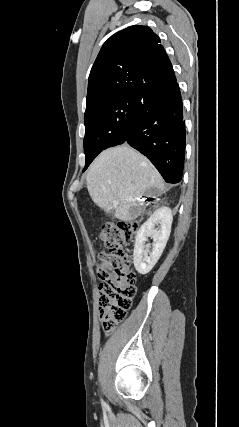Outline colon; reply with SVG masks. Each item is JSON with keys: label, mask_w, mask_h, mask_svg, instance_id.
<instances>
[{"label": "colon", "mask_w": 239, "mask_h": 427, "mask_svg": "<svg viewBox=\"0 0 239 427\" xmlns=\"http://www.w3.org/2000/svg\"><path fill=\"white\" fill-rule=\"evenodd\" d=\"M136 230L135 222H119L105 224L100 232L104 250L96 271L100 281V323L106 334L125 319L136 295V275L128 248Z\"/></svg>", "instance_id": "5ec220e1"}]
</instances>
